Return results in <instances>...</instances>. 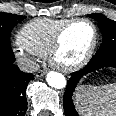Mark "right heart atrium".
I'll return each mask as SVG.
<instances>
[{"label":"right heart atrium","mask_w":116,"mask_h":116,"mask_svg":"<svg viewBox=\"0 0 116 116\" xmlns=\"http://www.w3.org/2000/svg\"><path fill=\"white\" fill-rule=\"evenodd\" d=\"M15 59L26 69L34 70L38 64L39 56L18 45L13 50Z\"/></svg>","instance_id":"1"}]
</instances>
